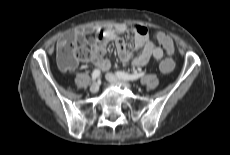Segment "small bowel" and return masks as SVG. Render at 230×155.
<instances>
[{
	"label": "small bowel",
	"instance_id": "1",
	"mask_svg": "<svg viewBox=\"0 0 230 155\" xmlns=\"http://www.w3.org/2000/svg\"><path fill=\"white\" fill-rule=\"evenodd\" d=\"M131 30L134 35L135 48L129 51L121 35ZM93 35L94 39L88 36ZM114 43L119 58L123 62L132 61L137 67L145 66L151 58L161 60L165 53L169 56L174 51L172 39L161 31H155L149 36L148 29L143 25H133L131 28L124 24L115 26H89L73 30L59 40L60 44L87 45L92 51L91 64L102 71L110 68L111 62L104 56L105 46Z\"/></svg>",
	"mask_w": 230,
	"mask_h": 155
}]
</instances>
